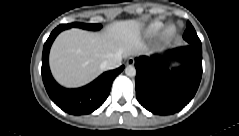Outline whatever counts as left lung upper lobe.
Wrapping results in <instances>:
<instances>
[{
  "label": "left lung upper lobe",
  "mask_w": 239,
  "mask_h": 136,
  "mask_svg": "<svg viewBox=\"0 0 239 136\" xmlns=\"http://www.w3.org/2000/svg\"><path fill=\"white\" fill-rule=\"evenodd\" d=\"M183 39L190 45H194L196 47H201V41L197 36V33L192 26V24L188 21L186 30L183 34Z\"/></svg>",
  "instance_id": "obj_1"
}]
</instances>
